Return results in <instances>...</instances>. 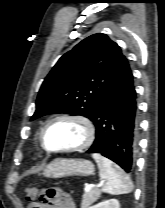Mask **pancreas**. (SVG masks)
I'll list each match as a JSON object with an SVG mask.
<instances>
[{
    "instance_id": "cf45deb5",
    "label": "pancreas",
    "mask_w": 165,
    "mask_h": 208,
    "mask_svg": "<svg viewBox=\"0 0 165 208\" xmlns=\"http://www.w3.org/2000/svg\"><path fill=\"white\" fill-rule=\"evenodd\" d=\"M100 191L98 189H91L82 196L81 208H90V205L98 200Z\"/></svg>"
}]
</instances>
